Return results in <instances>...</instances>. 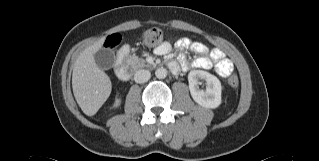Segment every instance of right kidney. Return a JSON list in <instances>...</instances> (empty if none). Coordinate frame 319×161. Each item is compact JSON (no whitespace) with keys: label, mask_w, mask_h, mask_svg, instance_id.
Returning a JSON list of instances; mask_svg holds the SVG:
<instances>
[{"label":"right kidney","mask_w":319,"mask_h":161,"mask_svg":"<svg viewBox=\"0 0 319 161\" xmlns=\"http://www.w3.org/2000/svg\"><path fill=\"white\" fill-rule=\"evenodd\" d=\"M121 103V100L120 99H116L115 100V103H114V107H118Z\"/></svg>","instance_id":"obj_1"}]
</instances>
